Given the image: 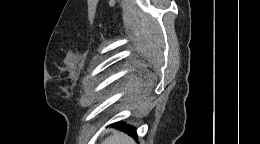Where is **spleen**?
<instances>
[{"instance_id": "1", "label": "spleen", "mask_w": 260, "mask_h": 144, "mask_svg": "<svg viewBox=\"0 0 260 144\" xmlns=\"http://www.w3.org/2000/svg\"><path fill=\"white\" fill-rule=\"evenodd\" d=\"M104 144H134V141L124 133H116L111 135L105 141Z\"/></svg>"}]
</instances>
